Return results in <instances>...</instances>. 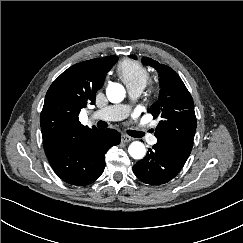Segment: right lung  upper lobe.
Returning a JSON list of instances; mask_svg holds the SVG:
<instances>
[{
  "mask_svg": "<svg viewBox=\"0 0 243 243\" xmlns=\"http://www.w3.org/2000/svg\"><path fill=\"white\" fill-rule=\"evenodd\" d=\"M116 60L112 55L75 64L52 83L40 116L44 147L97 130L82 125L78 115L87 102L95 103V94Z\"/></svg>",
  "mask_w": 243,
  "mask_h": 243,
  "instance_id": "cb5924a9",
  "label": "right lung upper lobe"
}]
</instances>
